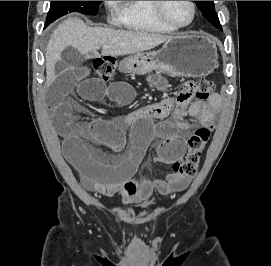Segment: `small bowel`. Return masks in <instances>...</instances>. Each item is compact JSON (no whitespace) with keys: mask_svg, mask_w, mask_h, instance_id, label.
<instances>
[{"mask_svg":"<svg viewBox=\"0 0 271 266\" xmlns=\"http://www.w3.org/2000/svg\"><path fill=\"white\" fill-rule=\"evenodd\" d=\"M89 73L86 66L67 58L49 67L47 72L51 82L47 104L55 128L63 137V154L80 173L83 185L108 197L119 195L124 205L148 201L155 190L169 194L185 189L189 180L176 173L154 180L133 176L148 144L155 139L159 140L158 162L179 161L185 152L183 133L195 126L192 119L201 126L211 125L221 106L220 97L212 95L207 102L167 97L124 117L74 123V109L69 100L74 92L89 101L109 100L117 105H127L134 97L130 84L106 83L90 77ZM150 80L158 89L166 88L161 76L151 75ZM126 128L131 129L133 145L124 158L105 162L91 153L87 142L121 151L126 144Z\"/></svg>","mask_w":271,"mask_h":266,"instance_id":"c3829d8e","label":"small bowel"}]
</instances>
